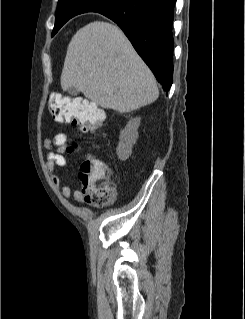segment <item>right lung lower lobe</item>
Instances as JSON below:
<instances>
[{
	"label": "right lung lower lobe",
	"instance_id": "right-lung-lower-lobe-1",
	"mask_svg": "<svg viewBox=\"0 0 245 319\" xmlns=\"http://www.w3.org/2000/svg\"><path fill=\"white\" fill-rule=\"evenodd\" d=\"M176 0H123L99 13L116 22L163 90L172 85L173 11Z\"/></svg>",
	"mask_w": 245,
	"mask_h": 319
}]
</instances>
